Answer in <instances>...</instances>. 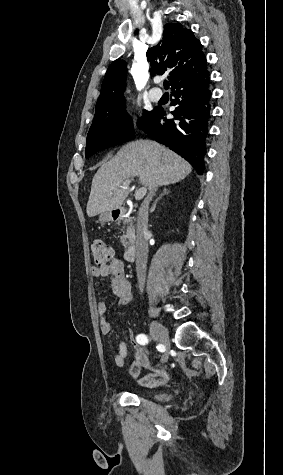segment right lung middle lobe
Segmentation results:
<instances>
[{
	"label": "right lung middle lobe",
	"mask_w": 283,
	"mask_h": 475,
	"mask_svg": "<svg viewBox=\"0 0 283 475\" xmlns=\"http://www.w3.org/2000/svg\"><path fill=\"white\" fill-rule=\"evenodd\" d=\"M144 117L139 118L138 126L142 129L153 115V111L143 110ZM131 117L125 104L95 108L93 123L87 135L86 158L96 152L130 141L134 137Z\"/></svg>",
	"instance_id": "dd1d6c3e"
}]
</instances>
